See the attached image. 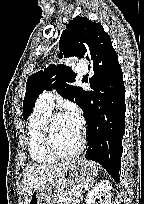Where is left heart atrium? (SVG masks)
<instances>
[{"label": "left heart atrium", "mask_w": 144, "mask_h": 204, "mask_svg": "<svg viewBox=\"0 0 144 204\" xmlns=\"http://www.w3.org/2000/svg\"><path fill=\"white\" fill-rule=\"evenodd\" d=\"M74 130L80 133L82 128V119L79 109L75 105H69L63 115Z\"/></svg>", "instance_id": "left-heart-atrium-1"}]
</instances>
